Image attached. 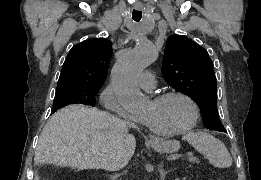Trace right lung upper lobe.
<instances>
[{
  "label": "right lung upper lobe",
  "mask_w": 261,
  "mask_h": 180,
  "mask_svg": "<svg viewBox=\"0 0 261 180\" xmlns=\"http://www.w3.org/2000/svg\"><path fill=\"white\" fill-rule=\"evenodd\" d=\"M111 54V42L106 38H93L76 44L65 59L57 87L101 86L107 77Z\"/></svg>",
  "instance_id": "1"
}]
</instances>
